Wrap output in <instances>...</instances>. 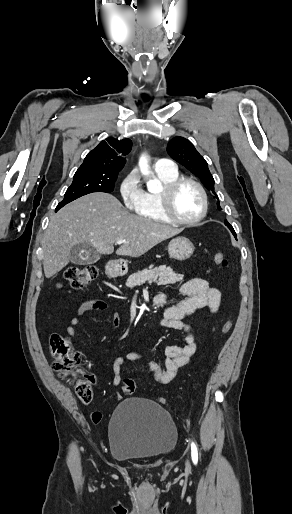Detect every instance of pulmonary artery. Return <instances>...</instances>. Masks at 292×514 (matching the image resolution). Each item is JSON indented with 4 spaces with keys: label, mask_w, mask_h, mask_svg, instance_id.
Returning <instances> with one entry per match:
<instances>
[{
    "label": "pulmonary artery",
    "mask_w": 292,
    "mask_h": 514,
    "mask_svg": "<svg viewBox=\"0 0 292 514\" xmlns=\"http://www.w3.org/2000/svg\"><path fill=\"white\" fill-rule=\"evenodd\" d=\"M157 171L167 175H174L178 172L177 167L170 156H163L157 163Z\"/></svg>",
    "instance_id": "pulmonary-artery-1"
}]
</instances>
